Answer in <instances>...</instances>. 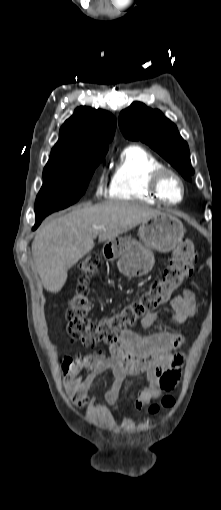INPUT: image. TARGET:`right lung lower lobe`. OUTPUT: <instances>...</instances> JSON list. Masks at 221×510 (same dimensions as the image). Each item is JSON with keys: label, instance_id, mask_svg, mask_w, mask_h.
I'll return each instance as SVG.
<instances>
[{"label": "right lung lower lobe", "instance_id": "right-lung-lower-lobe-1", "mask_svg": "<svg viewBox=\"0 0 221 510\" xmlns=\"http://www.w3.org/2000/svg\"><path fill=\"white\" fill-rule=\"evenodd\" d=\"M46 216L42 215V216H35V225L33 227V230H35L41 223V221L45 218Z\"/></svg>", "mask_w": 221, "mask_h": 510}]
</instances>
